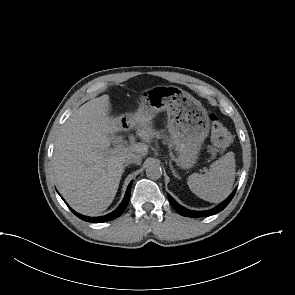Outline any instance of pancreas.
<instances>
[{
  "instance_id": "1",
  "label": "pancreas",
  "mask_w": 295,
  "mask_h": 295,
  "mask_svg": "<svg viewBox=\"0 0 295 295\" xmlns=\"http://www.w3.org/2000/svg\"><path fill=\"white\" fill-rule=\"evenodd\" d=\"M162 133H163V131L154 132V135H156L157 138H163V139L168 140L167 139L168 137L165 134H162ZM169 146L172 147V141H170V140H169ZM210 150H211L212 154H215L216 151H217V149H215V148H210Z\"/></svg>"
}]
</instances>
